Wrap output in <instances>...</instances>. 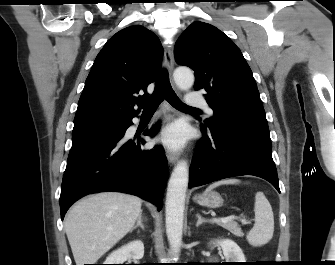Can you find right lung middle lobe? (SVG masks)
Wrapping results in <instances>:
<instances>
[{
	"mask_svg": "<svg viewBox=\"0 0 335 265\" xmlns=\"http://www.w3.org/2000/svg\"><path fill=\"white\" fill-rule=\"evenodd\" d=\"M125 123H95L74 126L72 131V141L101 135H118Z\"/></svg>",
	"mask_w": 335,
	"mask_h": 265,
	"instance_id": "right-lung-middle-lobe-1",
	"label": "right lung middle lobe"
}]
</instances>
